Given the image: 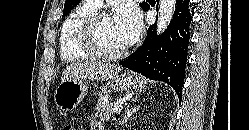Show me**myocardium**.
Masks as SVG:
<instances>
[{
    "instance_id": "f54148a6",
    "label": "myocardium",
    "mask_w": 249,
    "mask_h": 130,
    "mask_svg": "<svg viewBox=\"0 0 249 130\" xmlns=\"http://www.w3.org/2000/svg\"><path fill=\"white\" fill-rule=\"evenodd\" d=\"M111 16H113V14L108 10H98L87 18L81 28V45L93 57L103 60H118L125 57L129 51L128 45L117 52H109L103 49L99 44V27L106 18Z\"/></svg>"
}]
</instances>
